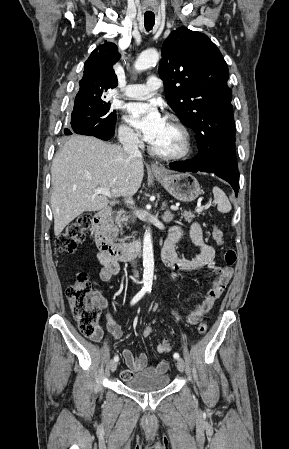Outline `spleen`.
I'll return each mask as SVG.
<instances>
[{
  "mask_svg": "<svg viewBox=\"0 0 289 449\" xmlns=\"http://www.w3.org/2000/svg\"><path fill=\"white\" fill-rule=\"evenodd\" d=\"M213 195L217 202V209L221 213H228L231 210V204L226 196V194L219 187H213Z\"/></svg>",
  "mask_w": 289,
  "mask_h": 449,
  "instance_id": "1",
  "label": "spleen"
}]
</instances>
